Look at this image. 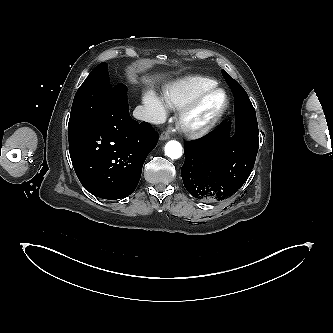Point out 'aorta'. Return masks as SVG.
Listing matches in <instances>:
<instances>
[{
    "label": "aorta",
    "mask_w": 333,
    "mask_h": 333,
    "mask_svg": "<svg viewBox=\"0 0 333 333\" xmlns=\"http://www.w3.org/2000/svg\"><path fill=\"white\" fill-rule=\"evenodd\" d=\"M165 154L171 159H178L182 156V146L178 141L171 140L165 145Z\"/></svg>",
    "instance_id": "aorta-1"
}]
</instances>
